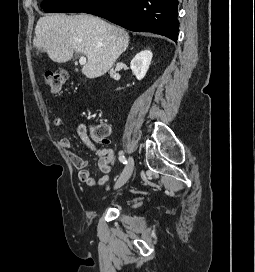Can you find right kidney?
Here are the masks:
<instances>
[{"label":"right kidney","instance_id":"right-kidney-1","mask_svg":"<svg viewBox=\"0 0 255 272\" xmlns=\"http://www.w3.org/2000/svg\"><path fill=\"white\" fill-rule=\"evenodd\" d=\"M152 56L153 54L150 50H143L137 53L131 60L130 67L138 80L145 77L151 64Z\"/></svg>","mask_w":255,"mask_h":272}]
</instances>
